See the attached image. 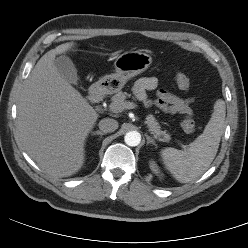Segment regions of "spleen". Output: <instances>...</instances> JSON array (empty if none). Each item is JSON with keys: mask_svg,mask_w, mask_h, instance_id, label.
<instances>
[{"mask_svg": "<svg viewBox=\"0 0 248 248\" xmlns=\"http://www.w3.org/2000/svg\"><path fill=\"white\" fill-rule=\"evenodd\" d=\"M225 103L216 101L211 118L203 133L185 150L167 147L160 152L165 168L180 183L199 178L214 160L224 130Z\"/></svg>", "mask_w": 248, "mask_h": 248, "instance_id": "obj_1", "label": "spleen"}]
</instances>
